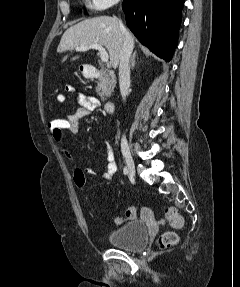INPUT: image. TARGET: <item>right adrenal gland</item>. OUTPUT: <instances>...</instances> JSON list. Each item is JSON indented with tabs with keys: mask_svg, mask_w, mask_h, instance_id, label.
Segmentation results:
<instances>
[{
	"mask_svg": "<svg viewBox=\"0 0 240 287\" xmlns=\"http://www.w3.org/2000/svg\"><path fill=\"white\" fill-rule=\"evenodd\" d=\"M136 53H137V51H134V53H133V55H132V58H131V65H130L131 69L134 68L135 63H136V62H135Z\"/></svg>",
	"mask_w": 240,
	"mask_h": 287,
	"instance_id": "2a0ac1e0",
	"label": "right adrenal gland"
}]
</instances>
